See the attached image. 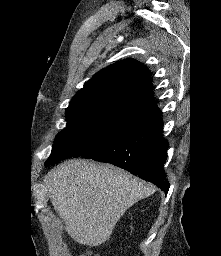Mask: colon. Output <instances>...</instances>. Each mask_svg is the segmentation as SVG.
I'll return each instance as SVG.
<instances>
[{
    "label": "colon",
    "mask_w": 221,
    "mask_h": 256,
    "mask_svg": "<svg viewBox=\"0 0 221 256\" xmlns=\"http://www.w3.org/2000/svg\"><path fill=\"white\" fill-rule=\"evenodd\" d=\"M81 256H89V255H81Z\"/></svg>",
    "instance_id": "1"
}]
</instances>
